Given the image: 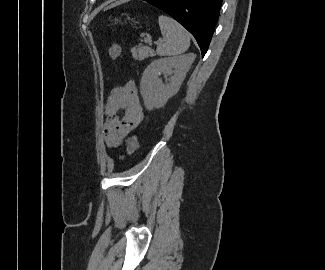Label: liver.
Wrapping results in <instances>:
<instances>
[{"label": "liver", "mask_w": 325, "mask_h": 270, "mask_svg": "<svg viewBox=\"0 0 325 270\" xmlns=\"http://www.w3.org/2000/svg\"><path fill=\"white\" fill-rule=\"evenodd\" d=\"M125 1H126V0H120V1H118V2H116V3H113V4H111V5L107 6V7H105L104 10L110 9V8H112V7H115V6H117V5H119L120 3L125 2Z\"/></svg>", "instance_id": "6515ba94"}]
</instances>
